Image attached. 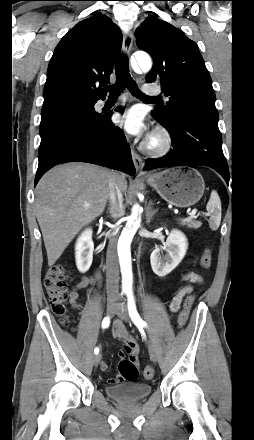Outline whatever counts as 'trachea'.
I'll return each mask as SVG.
<instances>
[{"label":"trachea","mask_w":254,"mask_h":440,"mask_svg":"<svg viewBox=\"0 0 254 440\" xmlns=\"http://www.w3.org/2000/svg\"><path fill=\"white\" fill-rule=\"evenodd\" d=\"M116 82L105 87V89L110 93V98H118V96L127 88L130 93L140 99L144 100H159L158 97H149L143 94L136 82L133 80L129 73V61L126 55H121L115 64Z\"/></svg>","instance_id":"3493384b"}]
</instances>
